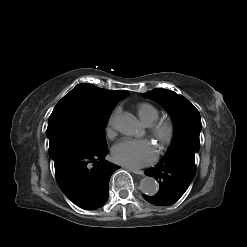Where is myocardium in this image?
I'll return each instance as SVG.
<instances>
[{
    "label": "myocardium",
    "mask_w": 247,
    "mask_h": 247,
    "mask_svg": "<svg viewBox=\"0 0 247 247\" xmlns=\"http://www.w3.org/2000/svg\"><path fill=\"white\" fill-rule=\"evenodd\" d=\"M150 133L162 147L171 144L175 135V125L170 119L156 120L148 125Z\"/></svg>",
    "instance_id": "f54148a6"
}]
</instances>
